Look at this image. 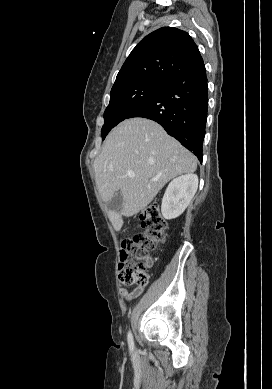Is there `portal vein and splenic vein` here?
I'll list each match as a JSON object with an SVG mask.
<instances>
[{"mask_svg":"<svg viewBox=\"0 0 272 389\" xmlns=\"http://www.w3.org/2000/svg\"><path fill=\"white\" fill-rule=\"evenodd\" d=\"M127 175L131 178L135 177V173L133 171H128Z\"/></svg>","mask_w":272,"mask_h":389,"instance_id":"portal-vein-and-splenic-vein-1","label":"portal vein and splenic vein"}]
</instances>
